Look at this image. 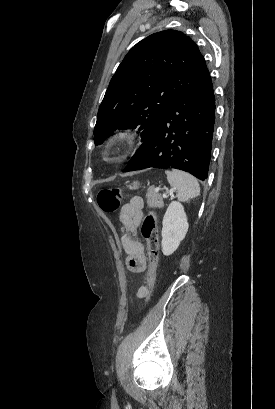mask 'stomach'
Masks as SVG:
<instances>
[{
	"label": "stomach",
	"instance_id": "stomach-1",
	"mask_svg": "<svg viewBox=\"0 0 275 409\" xmlns=\"http://www.w3.org/2000/svg\"><path fill=\"white\" fill-rule=\"evenodd\" d=\"M139 182H132L131 186L129 188H138Z\"/></svg>",
	"mask_w": 275,
	"mask_h": 409
}]
</instances>
